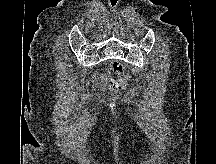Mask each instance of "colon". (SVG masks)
<instances>
[{"label": "colon", "mask_w": 216, "mask_h": 164, "mask_svg": "<svg viewBox=\"0 0 216 164\" xmlns=\"http://www.w3.org/2000/svg\"><path fill=\"white\" fill-rule=\"evenodd\" d=\"M113 69L117 77L111 79L110 87L113 91L120 92L129 83V76L126 74L124 66L119 61H114Z\"/></svg>", "instance_id": "5ec220e1"}]
</instances>
